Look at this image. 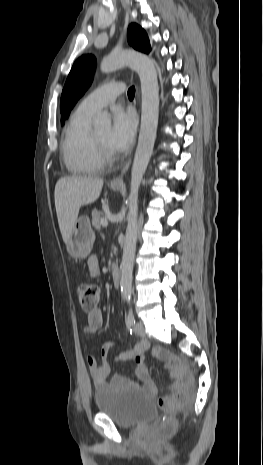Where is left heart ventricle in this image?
Instances as JSON below:
<instances>
[{
	"mask_svg": "<svg viewBox=\"0 0 263 465\" xmlns=\"http://www.w3.org/2000/svg\"><path fill=\"white\" fill-rule=\"evenodd\" d=\"M100 142H102L106 147L112 150V148L109 145V135H110V129H104L101 130L97 133L94 134Z\"/></svg>",
	"mask_w": 263,
	"mask_h": 465,
	"instance_id": "left-heart-ventricle-1",
	"label": "left heart ventricle"
}]
</instances>
